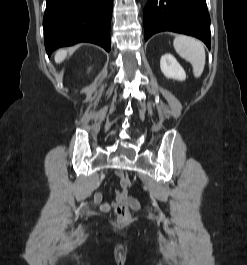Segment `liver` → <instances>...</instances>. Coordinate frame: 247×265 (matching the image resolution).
I'll list each match as a JSON object with an SVG mask.
<instances>
[{"label":"liver","instance_id":"liver-1","mask_svg":"<svg viewBox=\"0 0 247 265\" xmlns=\"http://www.w3.org/2000/svg\"><path fill=\"white\" fill-rule=\"evenodd\" d=\"M66 54H67L66 50H59V51H57L56 52V55H55V61H56V63L62 62L65 59Z\"/></svg>","mask_w":247,"mask_h":265}]
</instances>
